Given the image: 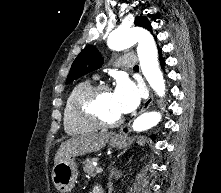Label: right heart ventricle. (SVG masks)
Wrapping results in <instances>:
<instances>
[{
	"instance_id": "1",
	"label": "right heart ventricle",
	"mask_w": 221,
	"mask_h": 193,
	"mask_svg": "<svg viewBox=\"0 0 221 193\" xmlns=\"http://www.w3.org/2000/svg\"><path fill=\"white\" fill-rule=\"evenodd\" d=\"M92 85V81L78 82L70 91L64 108V129L68 135L76 136L91 133L97 130V126L81 119L76 111V101L80 94Z\"/></svg>"
}]
</instances>
